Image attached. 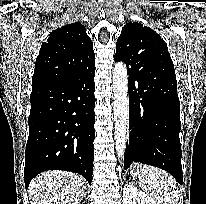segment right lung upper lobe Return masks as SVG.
<instances>
[{
	"label": "right lung upper lobe",
	"instance_id": "1",
	"mask_svg": "<svg viewBox=\"0 0 206 204\" xmlns=\"http://www.w3.org/2000/svg\"><path fill=\"white\" fill-rule=\"evenodd\" d=\"M95 62L93 43L79 22L49 34L36 59L32 87L74 76Z\"/></svg>",
	"mask_w": 206,
	"mask_h": 204
}]
</instances>
